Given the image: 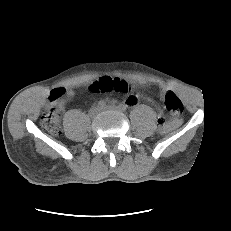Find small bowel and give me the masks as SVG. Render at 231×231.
<instances>
[{"label":"small bowel","instance_id":"small-bowel-1","mask_svg":"<svg viewBox=\"0 0 231 231\" xmlns=\"http://www.w3.org/2000/svg\"><path fill=\"white\" fill-rule=\"evenodd\" d=\"M55 90H60L62 92V95L58 99H56L52 102H54L56 104L58 110L62 111L65 108L66 101L73 97L74 92L72 90H64L62 88H57ZM161 91H162V96H165L167 89L165 87H162ZM140 99H141V96H139L137 94H133V93L128 94L126 96V102L129 105H136Z\"/></svg>","mask_w":231,"mask_h":231}]
</instances>
